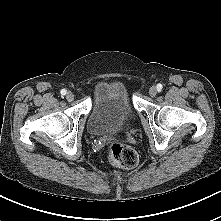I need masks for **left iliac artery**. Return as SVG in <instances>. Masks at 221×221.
Instances as JSON below:
<instances>
[{"instance_id":"obj_1","label":"left iliac artery","mask_w":221,"mask_h":221,"mask_svg":"<svg viewBox=\"0 0 221 221\" xmlns=\"http://www.w3.org/2000/svg\"><path fill=\"white\" fill-rule=\"evenodd\" d=\"M157 89H158V91H161L162 85H161V84H158V85H157Z\"/></svg>"}]
</instances>
